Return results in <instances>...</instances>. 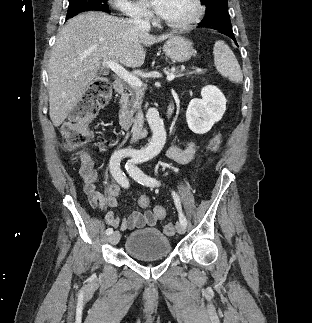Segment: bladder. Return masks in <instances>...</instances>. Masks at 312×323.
I'll return each instance as SVG.
<instances>
[{
  "label": "bladder",
  "instance_id": "obj_1",
  "mask_svg": "<svg viewBox=\"0 0 312 323\" xmlns=\"http://www.w3.org/2000/svg\"><path fill=\"white\" fill-rule=\"evenodd\" d=\"M171 240L157 228L131 232L125 240L128 255L140 260L163 258L171 252Z\"/></svg>",
  "mask_w": 312,
  "mask_h": 323
}]
</instances>
